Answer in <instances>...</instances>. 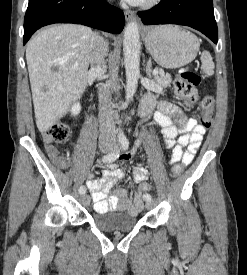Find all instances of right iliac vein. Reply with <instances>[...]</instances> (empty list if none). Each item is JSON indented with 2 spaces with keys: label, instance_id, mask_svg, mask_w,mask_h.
Listing matches in <instances>:
<instances>
[{
  "label": "right iliac vein",
  "instance_id": "obj_1",
  "mask_svg": "<svg viewBox=\"0 0 247 275\" xmlns=\"http://www.w3.org/2000/svg\"><path fill=\"white\" fill-rule=\"evenodd\" d=\"M110 148L108 147V146H103L102 147V152H104V153H109L110 152ZM81 202H82V204L83 205H85V206H87V205H89V203H90V198H89V196L87 195V194H82L81 195Z\"/></svg>",
  "mask_w": 247,
  "mask_h": 275
}]
</instances>
